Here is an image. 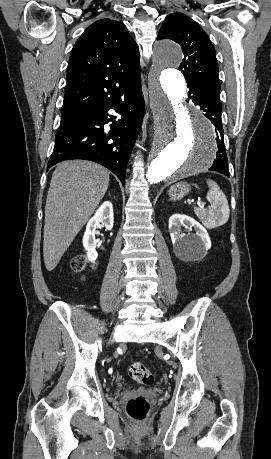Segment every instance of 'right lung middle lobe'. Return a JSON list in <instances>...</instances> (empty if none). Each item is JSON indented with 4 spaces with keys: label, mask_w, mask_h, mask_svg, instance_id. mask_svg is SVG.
Returning <instances> with one entry per match:
<instances>
[{
    "label": "right lung middle lobe",
    "mask_w": 271,
    "mask_h": 459,
    "mask_svg": "<svg viewBox=\"0 0 271 459\" xmlns=\"http://www.w3.org/2000/svg\"><path fill=\"white\" fill-rule=\"evenodd\" d=\"M66 115H68V114H62V117H63V116H66Z\"/></svg>",
    "instance_id": "dd1d6c3e"
}]
</instances>
